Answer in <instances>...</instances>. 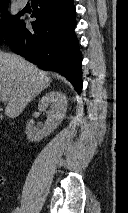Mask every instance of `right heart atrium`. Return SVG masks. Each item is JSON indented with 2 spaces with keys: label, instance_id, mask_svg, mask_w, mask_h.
<instances>
[{
  "label": "right heart atrium",
  "instance_id": "obj_1",
  "mask_svg": "<svg viewBox=\"0 0 128 213\" xmlns=\"http://www.w3.org/2000/svg\"><path fill=\"white\" fill-rule=\"evenodd\" d=\"M1 26H2V14L0 13V29H1Z\"/></svg>",
  "mask_w": 128,
  "mask_h": 213
}]
</instances>
